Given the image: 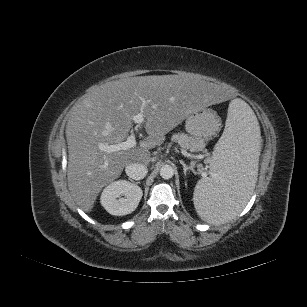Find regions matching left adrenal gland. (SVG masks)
<instances>
[{
	"label": "left adrenal gland",
	"instance_id": "a2214340",
	"mask_svg": "<svg viewBox=\"0 0 307 307\" xmlns=\"http://www.w3.org/2000/svg\"><path fill=\"white\" fill-rule=\"evenodd\" d=\"M180 164L183 166V172L185 176L187 175L188 171L195 173L194 169L191 166H187L182 160H180Z\"/></svg>",
	"mask_w": 307,
	"mask_h": 307
}]
</instances>
